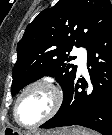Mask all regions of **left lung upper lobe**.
I'll return each instance as SVG.
<instances>
[{"mask_svg": "<svg viewBox=\"0 0 112 135\" xmlns=\"http://www.w3.org/2000/svg\"><path fill=\"white\" fill-rule=\"evenodd\" d=\"M111 23L109 0H59L40 12L17 45L12 95L43 76L55 77L65 93L77 70L69 53L89 49Z\"/></svg>", "mask_w": 112, "mask_h": 135, "instance_id": "5c2ea615", "label": "left lung upper lobe"}]
</instances>
